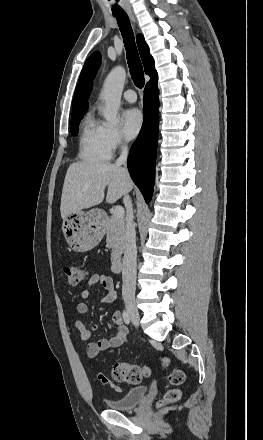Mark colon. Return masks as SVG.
Returning <instances> with one entry per match:
<instances>
[{"label":"colon","mask_w":263,"mask_h":440,"mask_svg":"<svg viewBox=\"0 0 263 440\" xmlns=\"http://www.w3.org/2000/svg\"><path fill=\"white\" fill-rule=\"evenodd\" d=\"M64 273L68 278V281L71 286H79L87 276L86 270L76 264H67L64 267ZM169 360L167 358L163 359V366H168ZM151 374V371L146 366H141L138 364L130 363V362H116L112 366V378L117 382H125L128 384H138L142 382L144 379L148 378ZM98 380L106 386L119 389L108 377L103 374L98 376ZM184 375L178 370H172L168 375V381L173 385H179L183 382ZM181 393L178 389H170L168 390L163 398V402L172 403L179 400Z\"/></svg>","instance_id":"obj_1"}]
</instances>
